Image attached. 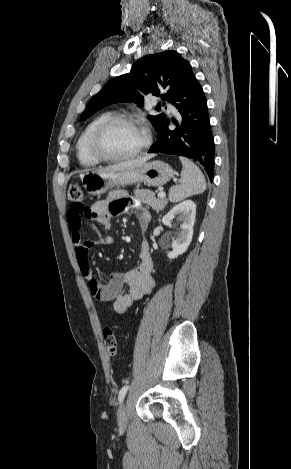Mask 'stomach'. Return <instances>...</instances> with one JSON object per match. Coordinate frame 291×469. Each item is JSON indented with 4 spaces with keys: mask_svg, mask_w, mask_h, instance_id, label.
Masks as SVG:
<instances>
[{
    "mask_svg": "<svg viewBox=\"0 0 291 469\" xmlns=\"http://www.w3.org/2000/svg\"><path fill=\"white\" fill-rule=\"evenodd\" d=\"M172 167L155 160L142 166L112 172H86L81 176L86 191L93 196L101 195L113 187L146 183L149 186H162L173 177Z\"/></svg>",
    "mask_w": 291,
    "mask_h": 469,
    "instance_id": "0dacf381",
    "label": "stomach"
}]
</instances>
